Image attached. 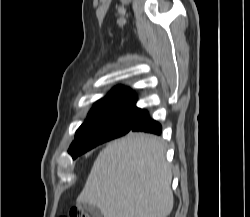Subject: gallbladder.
Masks as SVG:
<instances>
[{"label": "gallbladder", "instance_id": "1", "mask_svg": "<svg viewBox=\"0 0 250 217\" xmlns=\"http://www.w3.org/2000/svg\"><path fill=\"white\" fill-rule=\"evenodd\" d=\"M77 207L82 211L88 212L91 217H103V214L96 206H92L86 203H78Z\"/></svg>", "mask_w": 250, "mask_h": 217}]
</instances>
